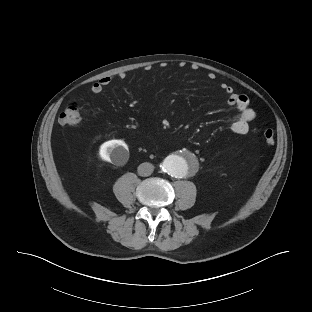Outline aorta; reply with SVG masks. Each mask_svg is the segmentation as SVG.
<instances>
[{
    "mask_svg": "<svg viewBox=\"0 0 312 312\" xmlns=\"http://www.w3.org/2000/svg\"><path fill=\"white\" fill-rule=\"evenodd\" d=\"M194 161L190 155H170L161 164L162 170L172 177H182Z\"/></svg>",
    "mask_w": 312,
    "mask_h": 312,
    "instance_id": "762f6f07",
    "label": "aorta"
}]
</instances>
